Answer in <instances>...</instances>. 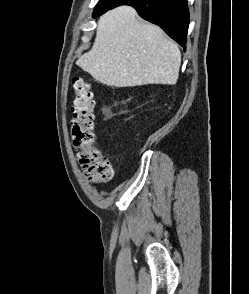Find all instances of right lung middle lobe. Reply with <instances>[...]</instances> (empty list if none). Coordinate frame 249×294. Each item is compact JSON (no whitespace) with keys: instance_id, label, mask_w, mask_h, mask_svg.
Instances as JSON below:
<instances>
[{"instance_id":"dd1d6c3e","label":"right lung middle lobe","mask_w":249,"mask_h":294,"mask_svg":"<svg viewBox=\"0 0 249 294\" xmlns=\"http://www.w3.org/2000/svg\"><path fill=\"white\" fill-rule=\"evenodd\" d=\"M121 0H99V2L97 3L95 10H94V14L120 2Z\"/></svg>"}]
</instances>
